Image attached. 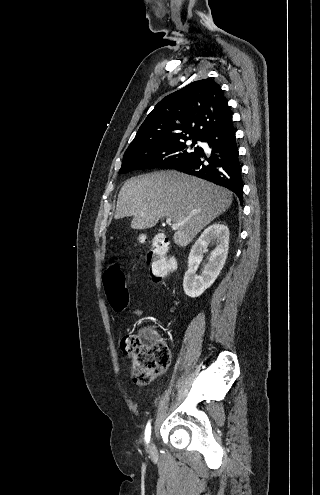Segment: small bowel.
I'll list each match as a JSON object with an SVG mask.
<instances>
[{
  "label": "small bowel",
  "mask_w": 320,
  "mask_h": 495,
  "mask_svg": "<svg viewBox=\"0 0 320 495\" xmlns=\"http://www.w3.org/2000/svg\"><path fill=\"white\" fill-rule=\"evenodd\" d=\"M127 313L138 317L143 315V311L141 309H130Z\"/></svg>",
  "instance_id": "1"
}]
</instances>
